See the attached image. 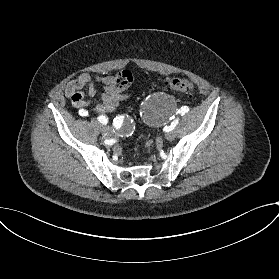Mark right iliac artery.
Returning a JSON list of instances; mask_svg holds the SVG:
<instances>
[{"mask_svg": "<svg viewBox=\"0 0 279 279\" xmlns=\"http://www.w3.org/2000/svg\"><path fill=\"white\" fill-rule=\"evenodd\" d=\"M79 116H80L81 118H84V117H87V116L91 117L92 115L89 114V112H88L87 110L82 109V110H80V112H79ZM98 121H99L100 123L106 125L107 122H108V118H106L105 116H99V117H98ZM113 125H114V127L117 128V129H122V128H124L125 125H126V120H125V118L122 117V116H117V117H115L114 120H113Z\"/></svg>", "mask_w": 279, "mask_h": 279, "instance_id": "obj_1", "label": "right iliac artery"}]
</instances>
